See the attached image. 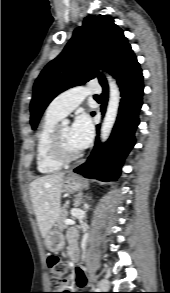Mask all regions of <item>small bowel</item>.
<instances>
[{
	"mask_svg": "<svg viewBox=\"0 0 170 293\" xmlns=\"http://www.w3.org/2000/svg\"><path fill=\"white\" fill-rule=\"evenodd\" d=\"M76 233L75 231H70L68 233V239L70 243L75 242ZM74 284L75 286L79 288H83L86 285V275L84 270L81 267H76L74 271Z\"/></svg>",
	"mask_w": 170,
	"mask_h": 293,
	"instance_id": "c3829d8e",
	"label": "small bowel"
}]
</instances>
